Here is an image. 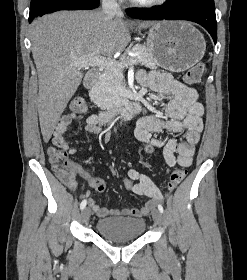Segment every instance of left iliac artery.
Wrapping results in <instances>:
<instances>
[{
    "label": "left iliac artery",
    "instance_id": "left-iliac-artery-1",
    "mask_svg": "<svg viewBox=\"0 0 247 280\" xmlns=\"http://www.w3.org/2000/svg\"><path fill=\"white\" fill-rule=\"evenodd\" d=\"M158 210L163 213L164 212V209H163V206L161 204H158Z\"/></svg>",
    "mask_w": 247,
    "mask_h": 280
}]
</instances>
